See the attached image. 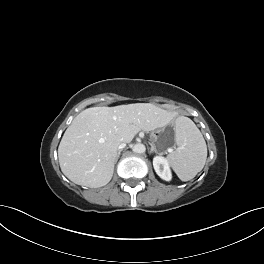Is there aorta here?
<instances>
[{"instance_id": "762f6f07", "label": "aorta", "mask_w": 264, "mask_h": 264, "mask_svg": "<svg viewBox=\"0 0 264 264\" xmlns=\"http://www.w3.org/2000/svg\"><path fill=\"white\" fill-rule=\"evenodd\" d=\"M145 150H146L145 145H143L141 143H137V144L133 145V147H132V151L134 153H144Z\"/></svg>"}]
</instances>
